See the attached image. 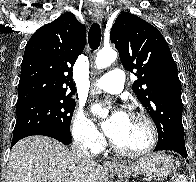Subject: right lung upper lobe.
<instances>
[{
  "instance_id": "right-lung-upper-lobe-1",
  "label": "right lung upper lobe",
  "mask_w": 196,
  "mask_h": 182,
  "mask_svg": "<svg viewBox=\"0 0 196 182\" xmlns=\"http://www.w3.org/2000/svg\"><path fill=\"white\" fill-rule=\"evenodd\" d=\"M85 41V26L71 12L39 28L25 47L16 105L74 94L72 67Z\"/></svg>"
}]
</instances>
